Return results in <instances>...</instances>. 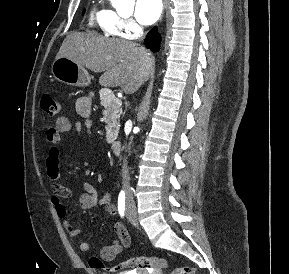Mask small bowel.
<instances>
[{"label": "small bowel", "instance_id": "obj_1", "mask_svg": "<svg viewBox=\"0 0 289 274\" xmlns=\"http://www.w3.org/2000/svg\"><path fill=\"white\" fill-rule=\"evenodd\" d=\"M76 108L78 113L86 120L84 124L80 122L76 123L75 129L77 132H81L83 128L90 130L92 127V121L89 119L91 112V101L88 98L80 99ZM72 128V123L67 117H59L55 123L50 126L46 133V140L49 143V150L46 157V172L51 181V202L62 221L63 226L67 229L68 234L71 237H77L80 234V230L74 227L68 220V212L63 203V200L72 196V190L60 182V150L59 144L61 136L65 132ZM79 205L82 209L88 210L101 205L110 215H116L117 209L112 202V195L110 191H107L102 198H98L96 189L88 182L83 184V192L79 197ZM114 230L117 235V240L112 244L107 245L101 249L100 257L102 260L110 262L113 261L117 255L130 246L131 240L128 231L124 225L120 222H116ZM78 247L81 251L86 252L89 250V244L87 241L80 239L78 241Z\"/></svg>", "mask_w": 289, "mask_h": 274}]
</instances>
